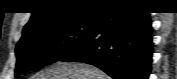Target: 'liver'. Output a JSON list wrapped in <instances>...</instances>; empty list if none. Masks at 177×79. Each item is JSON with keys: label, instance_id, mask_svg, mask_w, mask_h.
<instances>
[{"label": "liver", "instance_id": "6515ba94", "mask_svg": "<svg viewBox=\"0 0 177 79\" xmlns=\"http://www.w3.org/2000/svg\"><path fill=\"white\" fill-rule=\"evenodd\" d=\"M31 79H110L95 66L80 62L58 61L36 73Z\"/></svg>", "mask_w": 177, "mask_h": 79}]
</instances>
